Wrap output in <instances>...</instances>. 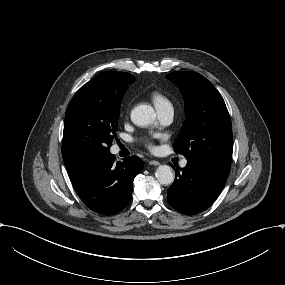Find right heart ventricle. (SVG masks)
I'll return each mask as SVG.
<instances>
[{"label": "right heart ventricle", "mask_w": 285, "mask_h": 285, "mask_svg": "<svg viewBox=\"0 0 285 285\" xmlns=\"http://www.w3.org/2000/svg\"><path fill=\"white\" fill-rule=\"evenodd\" d=\"M149 97L154 103V105L157 107V109L171 104L167 94L160 90V89H152L149 91Z\"/></svg>", "instance_id": "right-heart-ventricle-1"}]
</instances>
